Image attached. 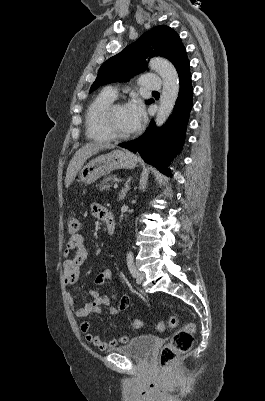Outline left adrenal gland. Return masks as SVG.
<instances>
[{
	"label": "left adrenal gland",
	"instance_id": "obj_1",
	"mask_svg": "<svg viewBox=\"0 0 265 401\" xmlns=\"http://www.w3.org/2000/svg\"><path fill=\"white\" fill-rule=\"evenodd\" d=\"M132 176H129L128 180H126L123 188H121L120 192H119V201H123V198H125L126 196V192H128V190H130V180H131Z\"/></svg>",
	"mask_w": 265,
	"mask_h": 401
}]
</instances>
